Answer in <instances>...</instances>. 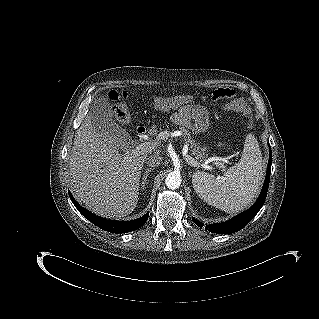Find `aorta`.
Segmentation results:
<instances>
[{
  "instance_id": "aorta-1",
  "label": "aorta",
  "mask_w": 319,
  "mask_h": 319,
  "mask_svg": "<svg viewBox=\"0 0 319 319\" xmlns=\"http://www.w3.org/2000/svg\"><path fill=\"white\" fill-rule=\"evenodd\" d=\"M181 176L177 172H171L165 179V184L169 189L175 190L181 185Z\"/></svg>"
}]
</instances>
